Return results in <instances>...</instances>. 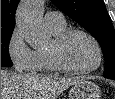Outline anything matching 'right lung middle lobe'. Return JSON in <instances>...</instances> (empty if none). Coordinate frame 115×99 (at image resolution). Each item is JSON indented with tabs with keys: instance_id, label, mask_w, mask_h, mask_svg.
Here are the masks:
<instances>
[{
	"instance_id": "right-lung-middle-lobe-1",
	"label": "right lung middle lobe",
	"mask_w": 115,
	"mask_h": 99,
	"mask_svg": "<svg viewBox=\"0 0 115 99\" xmlns=\"http://www.w3.org/2000/svg\"><path fill=\"white\" fill-rule=\"evenodd\" d=\"M13 30H1V67H11L13 63L9 55V42Z\"/></svg>"
}]
</instances>
